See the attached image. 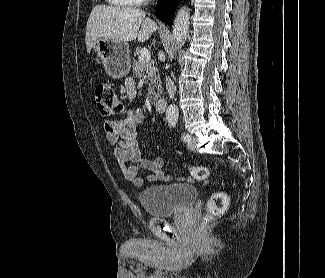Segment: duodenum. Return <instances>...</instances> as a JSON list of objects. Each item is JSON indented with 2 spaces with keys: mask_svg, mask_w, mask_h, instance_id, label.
Masks as SVG:
<instances>
[{
  "mask_svg": "<svg viewBox=\"0 0 325 278\" xmlns=\"http://www.w3.org/2000/svg\"><path fill=\"white\" fill-rule=\"evenodd\" d=\"M154 106L158 112H164L166 109V100L164 98H158L154 101Z\"/></svg>",
  "mask_w": 325,
  "mask_h": 278,
  "instance_id": "410a0bca",
  "label": "duodenum"
}]
</instances>
